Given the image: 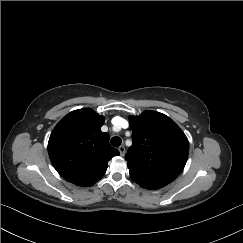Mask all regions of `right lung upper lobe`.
<instances>
[{
    "mask_svg": "<svg viewBox=\"0 0 243 243\" xmlns=\"http://www.w3.org/2000/svg\"><path fill=\"white\" fill-rule=\"evenodd\" d=\"M104 117L90 108L74 110L52 131L48 152L57 172L78 186H92L105 174L108 161L120 153L101 131Z\"/></svg>",
    "mask_w": 243,
    "mask_h": 243,
    "instance_id": "1",
    "label": "right lung upper lobe"
}]
</instances>
